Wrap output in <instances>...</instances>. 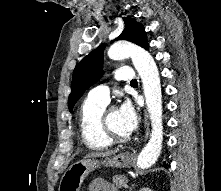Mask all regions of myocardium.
Wrapping results in <instances>:
<instances>
[{"instance_id":"f54148a6","label":"myocardium","mask_w":221,"mask_h":191,"mask_svg":"<svg viewBox=\"0 0 221 191\" xmlns=\"http://www.w3.org/2000/svg\"><path fill=\"white\" fill-rule=\"evenodd\" d=\"M113 110V108L109 109L104 115H103V126L105 129V132L108 136V138L113 142V143H125L128 142L131 139L130 135H121L117 133L109 124V114Z\"/></svg>"}]
</instances>
